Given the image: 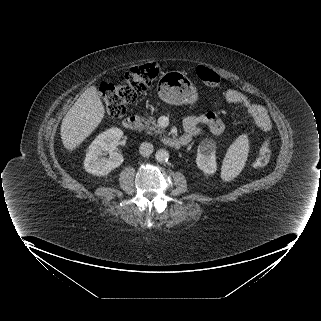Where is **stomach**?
Here are the masks:
<instances>
[{"mask_svg": "<svg viewBox=\"0 0 321 321\" xmlns=\"http://www.w3.org/2000/svg\"><path fill=\"white\" fill-rule=\"evenodd\" d=\"M157 93L159 98L173 105L194 104L198 94L187 76L180 71H168L158 81Z\"/></svg>", "mask_w": 321, "mask_h": 321, "instance_id": "stomach-1", "label": "stomach"}]
</instances>
